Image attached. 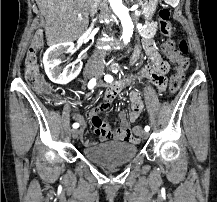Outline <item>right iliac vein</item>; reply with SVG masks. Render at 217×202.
<instances>
[{
    "instance_id": "right-iliac-vein-1",
    "label": "right iliac vein",
    "mask_w": 217,
    "mask_h": 202,
    "mask_svg": "<svg viewBox=\"0 0 217 202\" xmlns=\"http://www.w3.org/2000/svg\"><path fill=\"white\" fill-rule=\"evenodd\" d=\"M93 76H94L93 73L88 75L89 78H92ZM71 133H72V137L76 138L78 136V134H79V131L78 130H72Z\"/></svg>"
}]
</instances>
